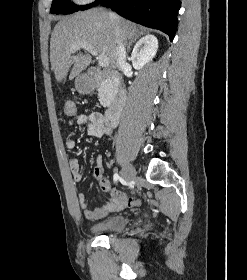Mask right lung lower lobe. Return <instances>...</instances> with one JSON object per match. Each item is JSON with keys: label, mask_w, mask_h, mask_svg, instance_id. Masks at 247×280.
Returning <instances> with one entry per match:
<instances>
[{"label": "right lung lower lobe", "mask_w": 247, "mask_h": 280, "mask_svg": "<svg viewBox=\"0 0 247 280\" xmlns=\"http://www.w3.org/2000/svg\"><path fill=\"white\" fill-rule=\"evenodd\" d=\"M99 3L127 19L163 31L171 41L175 36L179 0H101Z\"/></svg>", "instance_id": "right-lung-lower-lobe-1"}]
</instances>
